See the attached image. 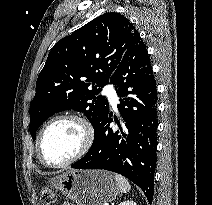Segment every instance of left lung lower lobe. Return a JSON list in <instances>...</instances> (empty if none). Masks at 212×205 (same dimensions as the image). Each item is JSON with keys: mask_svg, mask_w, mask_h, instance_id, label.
Segmentation results:
<instances>
[{"mask_svg": "<svg viewBox=\"0 0 212 205\" xmlns=\"http://www.w3.org/2000/svg\"><path fill=\"white\" fill-rule=\"evenodd\" d=\"M110 84L120 99L123 127L113 131L112 113L106 111L94 129V142L88 153L71 167L104 169L119 173L145 193L149 203L154 193L157 148V88L149 54L140 35L132 38Z\"/></svg>", "mask_w": 212, "mask_h": 205, "instance_id": "obj_1", "label": "left lung lower lobe"}]
</instances>
